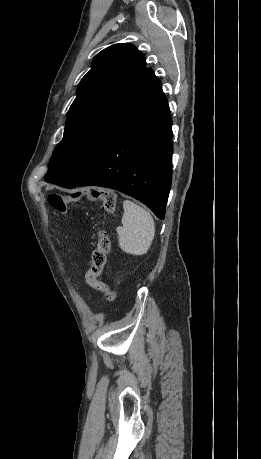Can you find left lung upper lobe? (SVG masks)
Listing matches in <instances>:
<instances>
[{
    "label": "left lung upper lobe",
    "instance_id": "5c2ea615",
    "mask_svg": "<svg viewBox=\"0 0 261 459\" xmlns=\"http://www.w3.org/2000/svg\"><path fill=\"white\" fill-rule=\"evenodd\" d=\"M160 84L133 45L102 50L78 86L45 181L58 185L93 159Z\"/></svg>",
    "mask_w": 261,
    "mask_h": 459
}]
</instances>
